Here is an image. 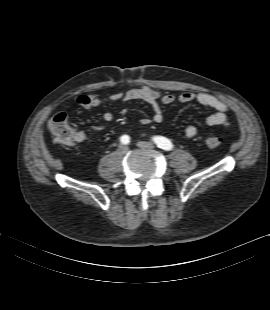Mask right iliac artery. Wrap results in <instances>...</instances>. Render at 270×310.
Wrapping results in <instances>:
<instances>
[{
	"label": "right iliac artery",
	"instance_id": "82829eb1",
	"mask_svg": "<svg viewBox=\"0 0 270 310\" xmlns=\"http://www.w3.org/2000/svg\"><path fill=\"white\" fill-rule=\"evenodd\" d=\"M120 141H121L122 144H125V145L129 144L130 137L128 135H123V136H121Z\"/></svg>",
	"mask_w": 270,
	"mask_h": 310
}]
</instances>
